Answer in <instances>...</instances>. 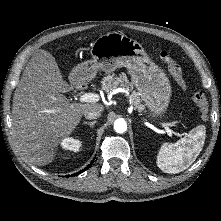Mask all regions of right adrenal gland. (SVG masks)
Returning <instances> with one entry per match:
<instances>
[{
    "label": "right adrenal gland",
    "instance_id": "obj_1",
    "mask_svg": "<svg viewBox=\"0 0 221 221\" xmlns=\"http://www.w3.org/2000/svg\"><path fill=\"white\" fill-rule=\"evenodd\" d=\"M83 124L89 125L91 128H93L94 125L96 124V121H91V122L85 121L83 122Z\"/></svg>",
    "mask_w": 221,
    "mask_h": 221
}]
</instances>
